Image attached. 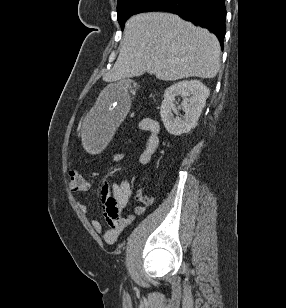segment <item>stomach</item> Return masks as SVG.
Here are the masks:
<instances>
[{
  "instance_id": "stomach-1",
  "label": "stomach",
  "mask_w": 286,
  "mask_h": 308,
  "mask_svg": "<svg viewBox=\"0 0 286 308\" xmlns=\"http://www.w3.org/2000/svg\"><path fill=\"white\" fill-rule=\"evenodd\" d=\"M129 87V80L107 85L106 89H100L94 109H86L80 129L83 137L81 149H87V156H98V149H104V142H110V137H113V130L110 129H117V124H121L119 116H123V110L128 108Z\"/></svg>"
}]
</instances>
